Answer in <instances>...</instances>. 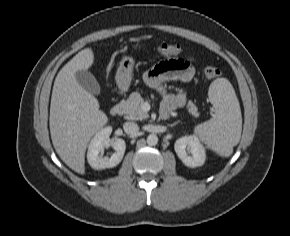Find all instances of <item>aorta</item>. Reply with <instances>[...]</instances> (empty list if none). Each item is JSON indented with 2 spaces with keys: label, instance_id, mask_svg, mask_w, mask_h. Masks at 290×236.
Segmentation results:
<instances>
[{
  "label": "aorta",
  "instance_id": "762f6f07",
  "mask_svg": "<svg viewBox=\"0 0 290 236\" xmlns=\"http://www.w3.org/2000/svg\"><path fill=\"white\" fill-rule=\"evenodd\" d=\"M158 143V137L156 134H150L147 137V144L150 146H155Z\"/></svg>",
  "mask_w": 290,
  "mask_h": 236
}]
</instances>
